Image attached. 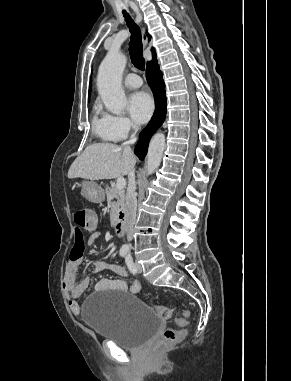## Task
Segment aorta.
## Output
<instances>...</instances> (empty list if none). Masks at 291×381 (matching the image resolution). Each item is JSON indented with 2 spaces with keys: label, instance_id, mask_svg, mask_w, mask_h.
Listing matches in <instances>:
<instances>
[{
  "label": "aorta",
  "instance_id": "aorta-1",
  "mask_svg": "<svg viewBox=\"0 0 291 381\" xmlns=\"http://www.w3.org/2000/svg\"><path fill=\"white\" fill-rule=\"evenodd\" d=\"M127 63L124 54L116 50H111L103 59L97 76V88L102 101L113 114L124 113L127 100L121 85L123 71ZM165 147V135L156 133L148 147L147 153V173L152 174L160 165Z\"/></svg>",
  "mask_w": 291,
  "mask_h": 381
}]
</instances>
